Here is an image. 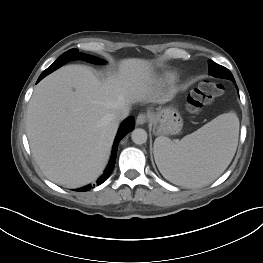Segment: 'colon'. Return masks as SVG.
Segmentation results:
<instances>
[{
	"label": "colon",
	"instance_id": "1",
	"mask_svg": "<svg viewBox=\"0 0 263 263\" xmlns=\"http://www.w3.org/2000/svg\"><path fill=\"white\" fill-rule=\"evenodd\" d=\"M224 92L221 84L203 81L188 96L187 108L192 113L201 111Z\"/></svg>",
	"mask_w": 263,
	"mask_h": 263
}]
</instances>
